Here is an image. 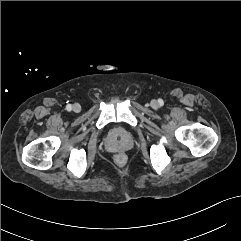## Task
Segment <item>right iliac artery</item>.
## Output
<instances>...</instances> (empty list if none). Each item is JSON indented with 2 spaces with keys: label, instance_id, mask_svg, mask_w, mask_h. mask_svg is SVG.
<instances>
[{
  "label": "right iliac artery",
  "instance_id": "1",
  "mask_svg": "<svg viewBox=\"0 0 241 241\" xmlns=\"http://www.w3.org/2000/svg\"><path fill=\"white\" fill-rule=\"evenodd\" d=\"M66 109H67L68 111H70V110L72 109V105H71V104H68V105L66 106Z\"/></svg>",
  "mask_w": 241,
  "mask_h": 241
}]
</instances>
